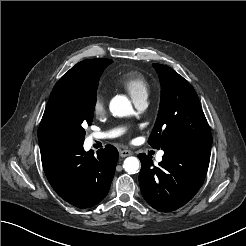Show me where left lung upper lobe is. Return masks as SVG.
Masks as SVG:
<instances>
[{"label": "left lung upper lobe", "instance_id": "1", "mask_svg": "<svg viewBox=\"0 0 246 246\" xmlns=\"http://www.w3.org/2000/svg\"><path fill=\"white\" fill-rule=\"evenodd\" d=\"M153 67L159 74L161 101L148 143L157 149L179 143L212 144L209 125L191 84L168 66Z\"/></svg>", "mask_w": 246, "mask_h": 246}]
</instances>
